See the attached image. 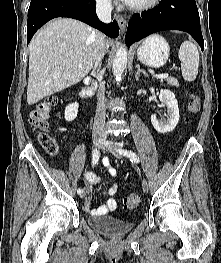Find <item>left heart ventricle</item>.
<instances>
[{
  "instance_id": "obj_1",
  "label": "left heart ventricle",
  "mask_w": 221,
  "mask_h": 263,
  "mask_svg": "<svg viewBox=\"0 0 221 263\" xmlns=\"http://www.w3.org/2000/svg\"><path fill=\"white\" fill-rule=\"evenodd\" d=\"M144 1H146V0H134L133 3H141V2H144Z\"/></svg>"
}]
</instances>
